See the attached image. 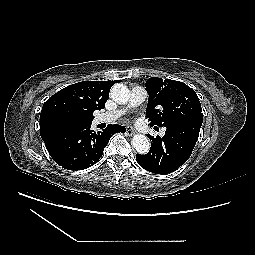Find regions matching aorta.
Returning a JSON list of instances; mask_svg holds the SVG:
<instances>
[{"instance_id": "762f6f07", "label": "aorta", "mask_w": 255, "mask_h": 255, "mask_svg": "<svg viewBox=\"0 0 255 255\" xmlns=\"http://www.w3.org/2000/svg\"><path fill=\"white\" fill-rule=\"evenodd\" d=\"M111 98L118 104H125L129 99V89L126 85L117 83L110 91ZM134 149L140 154H146L150 149V142L147 136L135 134L132 139Z\"/></svg>"}]
</instances>
